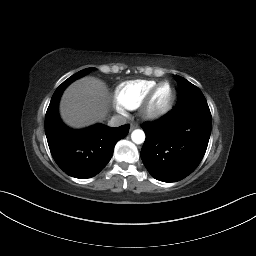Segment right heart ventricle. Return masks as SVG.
Returning <instances> with one entry per match:
<instances>
[{
  "instance_id": "1",
  "label": "right heart ventricle",
  "mask_w": 256,
  "mask_h": 256,
  "mask_svg": "<svg viewBox=\"0 0 256 256\" xmlns=\"http://www.w3.org/2000/svg\"><path fill=\"white\" fill-rule=\"evenodd\" d=\"M157 84L154 80H132L120 84L114 94V100L119 109H136Z\"/></svg>"
}]
</instances>
